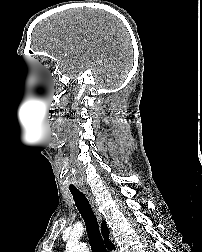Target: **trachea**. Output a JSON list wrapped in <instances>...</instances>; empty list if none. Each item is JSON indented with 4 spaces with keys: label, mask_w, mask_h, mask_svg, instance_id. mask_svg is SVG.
I'll list each match as a JSON object with an SVG mask.
<instances>
[{
    "label": "trachea",
    "mask_w": 202,
    "mask_h": 252,
    "mask_svg": "<svg viewBox=\"0 0 202 252\" xmlns=\"http://www.w3.org/2000/svg\"><path fill=\"white\" fill-rule=\"evenodd\" d=\"M75 205L81 214L87 229L88 238L93 252H106L100 234L97 218L87 198L76 188H70Z\"/></svg>",
    "instance_id": "obj_1"
}]
</instances>
